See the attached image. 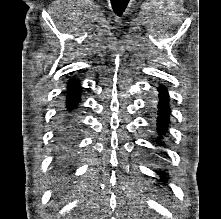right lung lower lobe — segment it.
<instances>
[{
  "mask_svg": "<svg viewBox=\"0 0 221 219\" xmlns=\"http://www.w3.org/2000/svg\"><path fill=\"white\" fill-rule=\"evenodd\" d=\"M66 110L58 117L56 124L55 146L58 160L65 161L74 152V145L78 135L79 125L75 115L72 113L80 100V87L78 80H71L67 85Z\"/></svg>",
  "mask_w": 221,
  "mask_h": 219,
  "instance_id": "obj_1",
  "label": "right lung lower lobe"
}]
</instances>
